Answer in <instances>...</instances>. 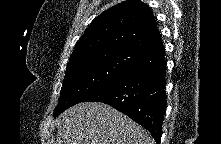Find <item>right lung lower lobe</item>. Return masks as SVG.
<instances>
[{"label": "right lung lower lobe", "instance_id": "1", "mask_svg": "<svg viewBox=\"0 0 221 144\" xmlns=\"http://www.w3.org/2000/svg\"><path fill=\"white\" fill-rule=\"evenodd\" d=\"M166 60L161 44L83 102H103L146 128L157 144L166 111Z\"/></svg>", "mask_w": 221, "mask_h": 144}]
</instances>
